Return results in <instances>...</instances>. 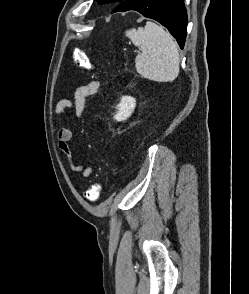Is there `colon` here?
Returning a JSON list of instances; mask_svg holds the SVG:
<instances>
[{
    "label": "colon",
    "instance_id": "1",
    "mask_svg": "<svg viewBox=\"0 0 249 294\" xmlns=\"http://www.w3.org/2000/svg\"><path fill=\"white\" fill-rule=\"evenodd\" d=\"M71 57L74 64L86 70H91L93 68V64L91 63L87 54L80 49H73L71 52ZM101 193V184L93 183L91 184L84 192V197L88 201H96Z\"/></svg>",
    "mask_w": 249,
    "mask_h": 294
}]
</instances>
